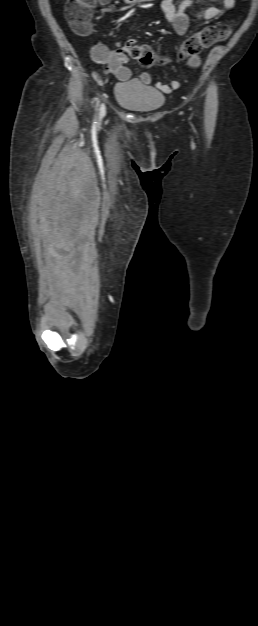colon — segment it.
Listing matches in <instances>:
<instances>
[{"mask_svg": "<svg viewBox=\"0 0 258 626\" xmlns=\"http://www.w3.org/2000/svg\"><path fill=\"white\" fill-rule=\"evenodd\" d=\"M105 2L106 0H100ZM96 0H67L66 16L74 32L86 34L91 29V8ZM231 27L227 24L205 27L189 37L180 49L179 56L188 59L195 56L203 48L227 39ZM125 51L143 66H151L156 62L152 49L147 45H137L134 40H128Z\"/></svg>", "mask_w": 258, "mask_h": 626, "instance_id": "colon-1", "label": "colon"}]
</instances>
